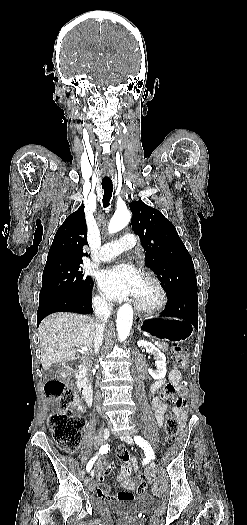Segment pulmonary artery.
Instances as JSON below:
<instances>
[{"mask_svg":"<svg viewBox=\"0 0 247 525\" xmlns=\"http://www.w3.org/2000/svg\"><path fill=\"white\" fill-rule=\"evenodd\" d=\"M139 244L138 236H135L133 233H125L120 236L117 240L109 242L96 251L97 256L95 260L101 262L104 260L105 263L110 264L113 262L114 258L120 256L121 251H126L134 248ZM91 254H94V251H91Z\"/></svg>","mask_w":247,"mask_h":525,"instance_id":"pulmonary-artery-1","label":"pulmonary artery"}]
</instances>
